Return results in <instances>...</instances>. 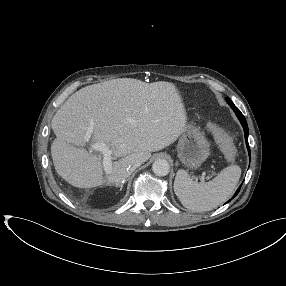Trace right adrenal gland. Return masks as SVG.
Masks as SVG:
<instances>
[{
  "mask_svg": "<svg viewBox=\"0 0 286 286\" xmlns=\"http://www.w3.org/2000/svg\"><path fill=\"white\" fill-rule=\"evenodd\" d=\"M119 186H120V190H122V188H123V184H120Z\"/></svg>",
  "mask_w": 286,
  "mask_h": 286,
  "instance_id": "1",
  "label": "right adrenal gland"
}]
</instances>
